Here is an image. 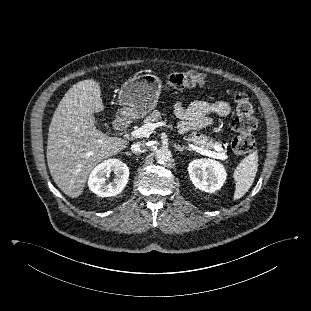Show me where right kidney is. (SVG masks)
Returning <instances> with one entry per match:
<instances>
[{"mask_svg":"<svg viewBox=\"0 0 311 311\" xmlns=\"http://www.w3.org/2000/svg\"><path fill=\"white\" fill-rule=\"evenodd\" d=\"M115 173L112 182L106 183V177ZM129 179L128 166L119 159H108L98 164L88 179L89 189L99 197H110L119 194Z\"/></svg>","mask_w":311,"mask_h":311,"instance_id":"right-kidney-1","label":"right kidney"}]
</instances>
